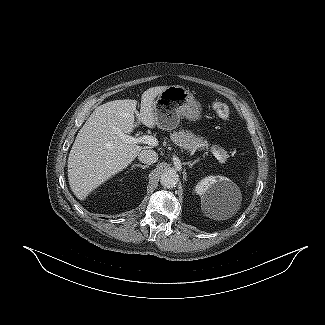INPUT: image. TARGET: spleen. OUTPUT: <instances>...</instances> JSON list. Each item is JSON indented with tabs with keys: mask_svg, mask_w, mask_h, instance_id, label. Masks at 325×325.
<instances>
[{
	"mask_svg": "<svg viewBox=\"0 0 325 325\" xmlns=\"http://www.w3.org/2000/svg\"><path fill=\"white\" fill-rule=\"evenodd\" d=\"M254 179V172L252 171L251 175L249 176V181L248 183L251 184Z\"/></svg>",
	"mask_w": 325,
	"mask_h": 325,
	"instance_id": "1",
	"label": "spleen"
}]
</instances>
